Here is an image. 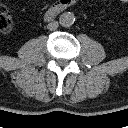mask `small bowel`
I'll return each instance as SVG.
<instances>
[{"label":"small bowel","instance_id":"c3829d8e","mask_svg":"<svg viewBox=\"0 0 128 128\" xmlns=\"http://www.w3.org/2000/svg\"><path fill=\"white\" fill-rule=\"evenodd\" d=\"M119 1L124 2V3L128 2V0H119Z\"/></svg>","mask_w":128,"mask_h":128}]
</instances>
